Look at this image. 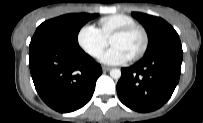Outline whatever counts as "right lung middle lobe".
Segmentation results:
<instances>
[{
  "label": "right lung middle lobe",
  "mask_w": 203,
  "mask_h": 123,
  "mask_svg": "<svg viewBox=\"0 0 203 123\" xmlns=\"http://www.w3.org/2000/svg\"><path fill=\"white\" fill-rule=\"evenodd\" d=\"M96 17V14H67L43 22L31 39L33 42H44L54 46L71 49L80 48L77 37L82 26Z\"/></svg>",
  "instance_id": "right-lung-middle-lobe-1"
}]
</instances>
